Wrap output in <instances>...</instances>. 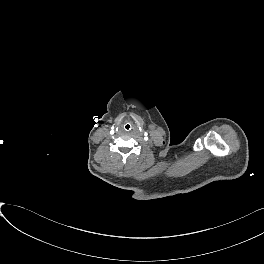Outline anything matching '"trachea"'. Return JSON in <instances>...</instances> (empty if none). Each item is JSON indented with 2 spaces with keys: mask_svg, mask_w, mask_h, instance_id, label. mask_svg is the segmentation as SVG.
I'll list each match as a JSON object with an SVG mask.
<instances>
[{
  "mask_svg": "<svg viewBox=\"0 0 264 264\" xmlns=\"http://www.w3.org/2000/svg\"><path fill=\"white\" fill-rule=\"evenodd\" d=\"M123 129L125 132H129L132 130V124L130 122H125L123 124Z\"/></svg>",
  "mask_w": 264,
  "mask_h": 264,
  "instance_id": "3493384b",
  "label": "trachea"
}]
</instances>
